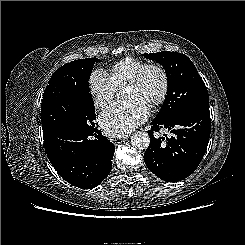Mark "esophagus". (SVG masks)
I'll list each match as a JSON object with an SVG mask.
<instances>
[{
  "mask_svg": "<svg viewBox=\"0 0 245 245\" xmlns=\"http://www.w3.org/2000/svg\"><path fill=\"white\" fill-rule=\"evenodd\" d=\"M124 139H125L124 137H116L113 139V142L115 145H118V144L122 143L124 141Z\"/></svg>",
  "mask_w": 245,
  "mask_h": 245,
  "instance_id": "obj_1",
  "label": "esophagus"
}]
</instances>
